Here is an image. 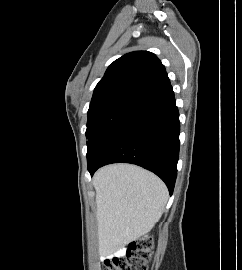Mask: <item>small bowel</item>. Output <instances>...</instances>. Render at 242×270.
<instances>
[{
  "label": "small bowel",
  "instance_id": "small-bowel-1",
  "mask_svg": "<svg viewBox=\"0 0 242 270\" xmlns=\"http://www.w3.org/2000/svg\"><path fill=\"white\" fill-rule=\"evenodd\" d=\"M123 253H124V250L120 249V250H117V251L114 253V256H115V255H123ZM110 259H111V256L107 257V258L104 260V263H105L106 261H109Z\"/></svg>",
  "mask_w": 242,
  "mask_h": 270
}]
</instances>
